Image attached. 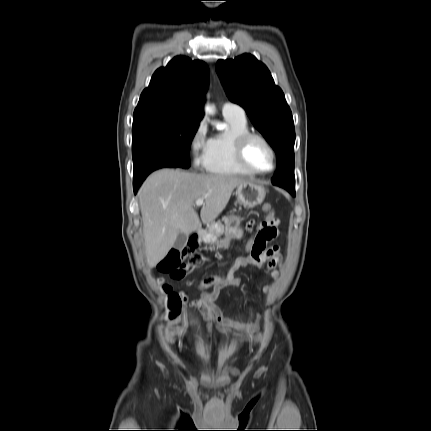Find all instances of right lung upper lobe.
Segmentation results:
<instances>
[{"label":"right lung upper lobe","instance_id":"obj_1","mask_svg":"<svg viewBox=\"0 0 431 431\" xmlns=\"http://www.w3.org/2000/svg\"><path fill=\"white\" fill-rule=\"evenodd\" d=\"M208 88V66L200 60L175 57L152 76L140 97L134 118L158 116L199 121Z\"/></svg>","mask_w":431,"mask_h":431}]
</instances>
